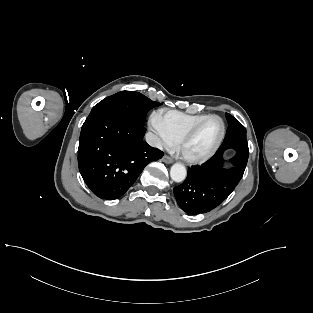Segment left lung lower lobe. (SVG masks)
<instances>
[{
  "label": "left lung lower lobe",
  "instance_id": "obj_1",
  "mask_svg": "<svg viewBox=\"0 0 313 313\" xmlns=\"http://www.w3.org/2000/svg\"><path fill=\"white\" fill-rule=\"evenodd\" d=\"M234 150L236 155L229 161L231 169L223 168V154ZM249 148L246 138H233L222 143L207 162L188 169L186 180L174 188L180 208L188 214L206 213L220 205L241 180L247 165Z\"/></svg>",
  "mask_w": 313,
  "mask_h": 313
}]
</instances>
